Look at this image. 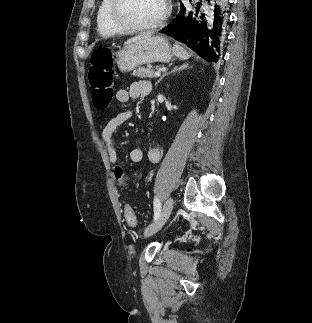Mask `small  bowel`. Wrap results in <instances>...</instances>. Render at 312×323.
Segmentation results:
<instances>
[{
  "label": "small bowel",
  "mask_w": 312,
  "mask_h": 323,
  "mask_svg": "<svg viewBox=\"0 0 312 323\" xmlns=\"http://www.w3.org/2000/svg\"><path fill=\"white\" fill-rule=\"evenodd\" d=\"M152 85L147 80H138L127 89H118L115 93V99L118 103H127L130 100L138 99L151 93ZM132 118L131 110H123L111 116L101 133V139L104 144L108 160L114 166L119 164L118 154L113 144V134L115 131ZM144 154L149 162L157 163L160 159V151L156 147L147 148L146 152L137 147L130 151V160L134 163H141L144 159Z\"/></svg>",
  "instance_id": "obj_1"
}]
</instances>
